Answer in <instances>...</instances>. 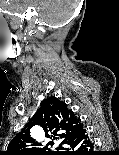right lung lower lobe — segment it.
Listing matches in <instances>:
<instances>
[{"label": "right lung lower lobe", "instance_id": "obj_1", "mask_svg": "<svg viewBox=\"0 0 119 155\" xmlns=\"http://www.w3.org/2000/svg\"><path fill=\"white\" fill-rule=\"evenodd\" d=\"M65 144L68 145V148L63 149H67V151L58 152L57 155H97L94 144L84 128L71 136Z\"/></svg>", "mask_w": 119, "mask_h": 155}]
</instances>
